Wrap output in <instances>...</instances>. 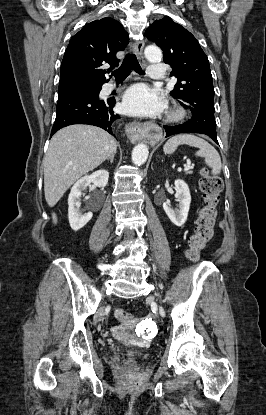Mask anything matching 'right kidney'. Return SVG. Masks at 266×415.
<instances>
[{"label":"right kidney","mask_w":266,"mask_h":415,"mask_svg":"<svg viewBox=\"0 0 266 415\" xmlns=\"http://www.w3.org/2000/svg\"><path fill=\"white\" fill-rule=\"evenodd\" d=\"M108 179V171L98 170L91 175L82 177L71 188V192L68 197V218L70 226L74 231L84 227L93 216L92 212L82 214L79 211L83 192L91 183L96 187H105L108 183Z\"/></svg>","instance_id":"1"}]
</instances>
